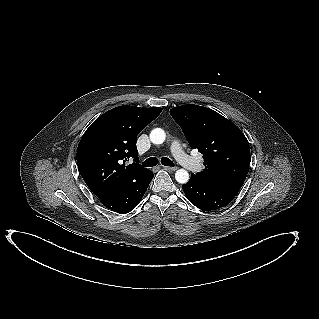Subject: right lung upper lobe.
<instances>
[{
	"label": "right lung upper lobe",
	"mask_w": 319,
	"mask_h": 319,
	"mask_svg": "<svg viewBox=\"0 0 319 319\" xmlns=\"http://www.w3.org/2000/svg\"><path fill=\"white\" fill-rule=\"evenodd\" d=\"M161 111L162 108L119 106L102 114L86 130L77 148V165L99 199L147 170L138 164L136 139ZM129 158L135 162L126 166Z\"/></svg>",
	"instance_id": "obj_1"
}]
</instances>
